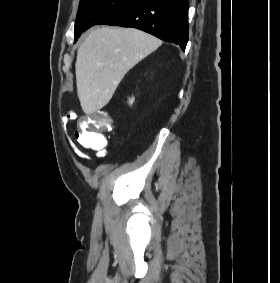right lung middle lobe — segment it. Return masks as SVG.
<instances>
[{"label": "right lung middle lobe", "instance_id": "dd1d6c3e", "mask_svg": "<svg viewBox=\"0 0 280 283\" xmlns=\"http://www.w3.org/2000/svg\"><path fill=\"white\" fill-rule=\"evenodd\" d=\"M133 0H81L74 27L77 41L82 32L99 24L103 19L121 9Z\"/></svg>", "mask_w": 280, "mask_h": 283}]
</instances>
